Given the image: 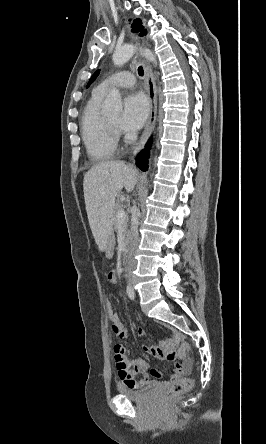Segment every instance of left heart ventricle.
Returning <instances> with one entry per match:
<instances>
[{"instance_id":"left-heart-ventricle-1","label":"left heart ventricle","mask_w":266,"mask_h":444,"mask_svg":"<svg viewBox=\"0 0 266 444\" xmlns=\"http://www.w3.org/2000/svg\"><path fill=\"white\" fill-rule=\"evenodd\" d=\"M108 119L112 122V123H115V124H119V121H120V117L119 116H112V117H108Z\"/></svg>"}]
</instances>
